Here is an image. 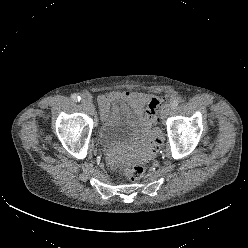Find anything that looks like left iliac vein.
Here are the masks:
<instances>
[{
    "label": "left iliac vein",
    "mask_w": 248,
    "mask_h": 248,
    "mask_svg": "<svg viewBox=\"0 0 248 248\" xmlns=\"http://www.w3.org/2000/svg\"><path fill=\"white\" fill-rule=\"evenodd\" d=\"M170 109H171V104L166 103V104L163 105V107L161 109V117H162V119L166 118V116L170 112Z\"/></svg>",
    "instance_id": "obj_1"
}]
</instances>
